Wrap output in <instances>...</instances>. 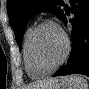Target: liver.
<instances>
[{"label": "liver", "instance_id": "liver-1", "mask_svg": "<svg viewBox=\"0 0 89 89\" xmlns=\"http://www.w3.org/2000/svg\"><path fill=\"white\" fill-rule=\"evenodd\" d=\"M58 78H49L29 86V89H48L58 82Z\"/></svg>", "mask_w": 89, "mask_h": 89}]
</instances>
